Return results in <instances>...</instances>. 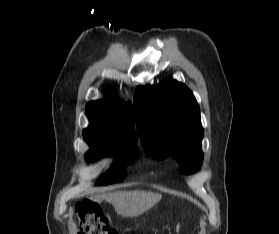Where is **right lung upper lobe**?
<instances>
[{"label": "right lung upper lobe", "instance_id": "obj_1", "mask_svg": "<svg viewBox=\"0 0 279 234\" xmlns=\"http://www.w3.org/2000/svg\"><path fill=\"white\" fill-rule=\"evenodd\" d=\"M86 114L90 125L83 131L85 138L101 143L135 144L137 135L130 102L119 104L110 92L107 99L89 102Z\"/></svg>", "mask_w": 279, "mask_h": 234}]
</instances>
